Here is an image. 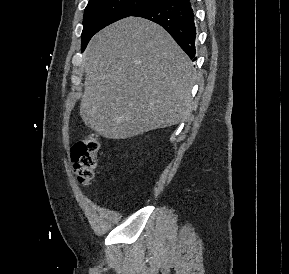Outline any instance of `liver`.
I'll list each match as a JSON object with an SVG mask.
<instances>
[{
    "instance_id": "6515ba94",
    "label": "liver",
    "mask_w": 289,
    "mask_h": 274,
    "mask_svg": "<svg viewBox=\"0 0 289 274\" xmlns=\"http://www.w3.org/2000/svg\"><path fill=\"white\" fill-rule=\"evenodd\" d=\"M80 115L108 139H127L183 121L195 73L186 53L159 25L128 17L102 29L83 55Z\"/></svg>"
}]
</instances>
